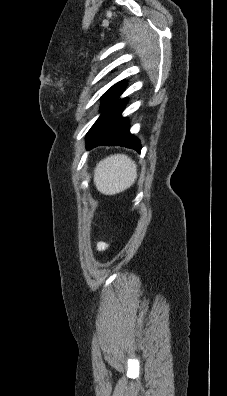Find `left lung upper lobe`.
<instances>
[{
    "label": "left lung upper lobe",
    "instance_id": "left-lung-upper-lobe-1",
    "mask_svg": "<svg viewBox=\"0 0 227 396\" xmlns=\"http://www.w3.org/2000/svg\"><path fill=\"white\" fill-rule=\"evenodd\" d=\"M124 81H120L118 83H116L115 85H113L104 95L103 97H105L106 95H108L111 91H113L115 88H117L119 85H121Z\"/></svg>",
    "mask_w": 227,
    "mask_h": 396
}]
</instances>
